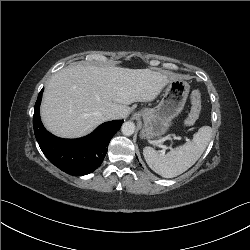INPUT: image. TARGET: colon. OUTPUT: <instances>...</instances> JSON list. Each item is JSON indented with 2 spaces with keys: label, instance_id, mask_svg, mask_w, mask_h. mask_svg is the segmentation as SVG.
Segmentation results:
<instances>
[{
  "label": "colon",
  "instance_id": "colon-1",
  "mask_svg": "<svg viewBox=\"0 0 250 250\" xmlns=\"http://www.w3.org/2000/svg\"><path fill=\"white\" fill-rule=\"evenodd\" d=\"M191 109L189 115L184 121V125L189 127L193 125L198 119L201 111V92L199 90H194L191 93Z\"/></svg>",
  "mask_w": 250,
  "mask_h": 250
}]
</instances>
